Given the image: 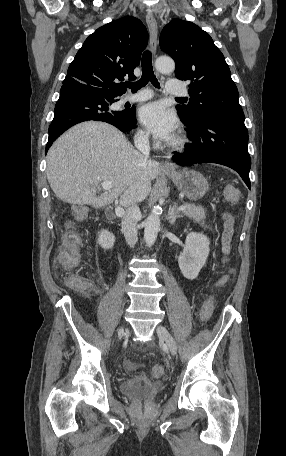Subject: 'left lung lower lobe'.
I'll return each instance as SVG.
<instances>
[{
    "label": "left lung lower lobe",
    "mask_w": 286,
    "mask_h": 456,
    "mask_svg": "<svg viewBox=\"0 0 286 456\" xmlns=\"http://www.w3.org/2000/svg\"><path fill=\"white\" fill-rule=\"evenodd\" d=\"M182 121L188 127L187 135L192 144L186 146L183 155L173 157L175 162L180 165L210 162L228 166L237 171L251 189V159L244 120L208 114L194 123Z\"/></svg>",
    "instance_id": "1"
}]
</instances>
